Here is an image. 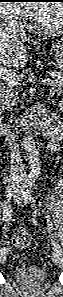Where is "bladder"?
Listing matches in <instances>:
<instances>
[{
    "label": "bladder",
    "mask_w": 63,
    "mask_h": 297,
    "mask_svg": "<svg viewBox=\"0 0 63 297\" xmlns=\"http://www.w3.org/2000/svg\"><path fill=\"white\" fill-rule=\"evenodd\" d=\"M15 278L17 281L24 280L31 277H37L40 279L42 277L41 272L35 271V270H26V269H17L16 272H14Z\"/></svg>",
    "instance_id": "bladder-1"
}]
</instances>
